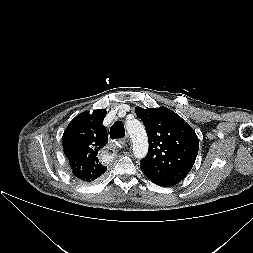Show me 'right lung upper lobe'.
<instances>
[{
	"label": "right lung upper lobe",
	"mask_w": 253,
	"mask_h": 253,
	"mask_svg": "<svg viewBox=\"0 0 253 253\" xmlns=\"http://www.w3.org/2000/svg\"><path fill=\"white\" fill-rule=\"evenodd\" d=\"M105 109L84 111L77 115L63 134V150L69 160L73 175L83 182L100 179L107 167L98 159V151L108 143V133L103 120Z\"/></svg>",
	"instance_id": "1"
}]
</instances>
